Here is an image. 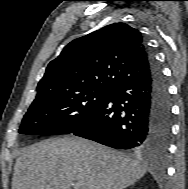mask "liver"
Listing matches in <instances>:
<instances>
[{
  "label": "liver",
  "mask_w": 188,
  "mask_h": 189,
  "mask_svg": "<svg viewBox=\"0 0 188 189\" xmlns=\"http://www.w3.org/2000/svg\"><path fill=\"white\" fill-rule=\"evenodd\" d=\"M146 173L139 162L76 137L52 138L22 150L12 189H124Z\"/></svg>",
  "instance_id": "1"
}]
</instances>
